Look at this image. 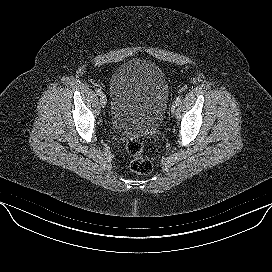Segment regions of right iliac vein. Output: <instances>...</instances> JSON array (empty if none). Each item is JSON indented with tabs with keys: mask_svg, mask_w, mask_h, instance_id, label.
Segmentation results:
<instances>
[{
	"mask_svg": "<svg viewBox=\"0 0 272 272\" xmlns=\"http://www.w3.org/2000/svg\"><path fill=\"white\" fill-rule=\"evenodd\" d=\"M100 103H101L102 107H105L106 104H107V99H106V96L104 94H102L100 96Z\"/></svg>",
	"mask_w": 272,
	"mask_h": 272,
	"instance_id": "obj_1",
	"label": "right iliac vein"
}]
</instances>
